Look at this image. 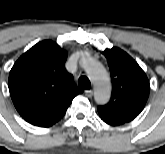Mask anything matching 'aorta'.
<instances>
[{"instance_id": "1", "label": "aorta", "mask_w": 165, "mask_h": 154, "mask_svg": "<svg viewBox=\"0 0 165 154\" xmlns=\"http://www.w3.org/2000/svg\"><path fill=\"white\" fill-rule=\"evenodd\" d=\"M81 66L92 80L95 88L94 99L98 104H105L111 96L110 78L105 68L96 60L84 57Z\"/></svg>"}]
</instances>
